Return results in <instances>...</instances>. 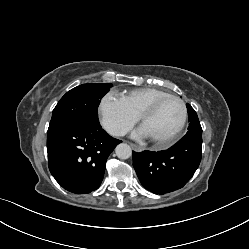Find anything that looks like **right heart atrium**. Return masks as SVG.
Wrapping results in <instances>:
<instances>
[{
  "instance_id": "d8ad5b80",
  "label": "right heart atrium",
  "mask_w": 249,
  "mask_h": 249,
  "mask_svg": "<svg viewBox=\"0 0 249 249\" xmlns=\"http://www.w3.org/2000/svg\"><path fill=\"white\" fill-rule=\"evenodd\" d=\"M98 113L104 128L115 136L126 134L138 120V116L113 93H107L101 98Z\"/></svg>"
}]
</instances>
